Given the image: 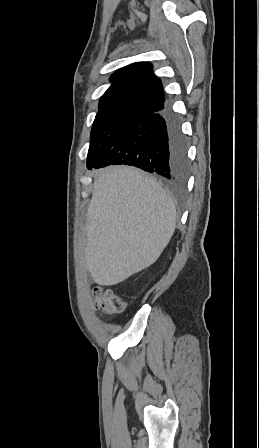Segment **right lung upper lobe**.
Returning <instances> with one entry per match:
<instances>
[{
    "mask_svg": "<svg viewBox=\"0 0 259 448\" xmlns=\"http://www.w3.org/2000/svg\"><path fill=\"white\" fill-rule=\"evenodd\" d=\"M113 84L99 102L98 113H154L165 104L161 80L149 62H135L117 70L110 78Z\"/></svg>",
    "mask_w": 259,
    "mask_h": 448,
    "instance_id": "right-lung-upper-lobe-1",
    "label": "right lung upper lobe"
}]
</instances>
